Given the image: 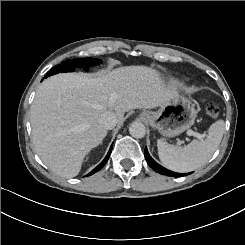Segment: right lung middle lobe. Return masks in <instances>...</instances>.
Segmentation results:
<instances>
[{
  "mask_svg": "<svg viewBox=\"0 0 245 245\" xmlns=\"http://www.w3.org/2000/svg\"><path fill=\"white\" fill-rule=\"evenodd\" d=\"M100 63L101 60L93 58L66 60L61 65H56L50 69L45 78L60 72H71L75 67H85L87 69L89 66L98 65Z\"/></svg>",
  "mask_w": 245,
  "mask_h": 245,
  "instance_id": "right-lung-middle-lobe-1",
  "label": "right lung middle lobe"
}]
</instances>
